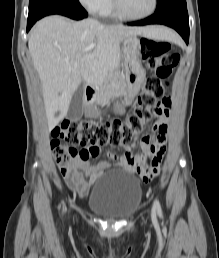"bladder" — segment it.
Returning <instances> with one entry per match:
<instances>
[{
  "mask_svg": "<svg viewBox=\"0 0 219 258\" xmlns=\"http://www.w3.org/2000/svg\"><path fill=\"white\" fill-rule=\"evenodd\" d=\"M141 198L142 186L139 179L133 173L115 169L95 182L87 207L104 218L121 220L135 212Z\"/></svg>",
  "mask_w": 219,
  "mask_h": 258,
  "instance_id": "31cf9c89",
  "label": "bladder"
}]
</instances>
